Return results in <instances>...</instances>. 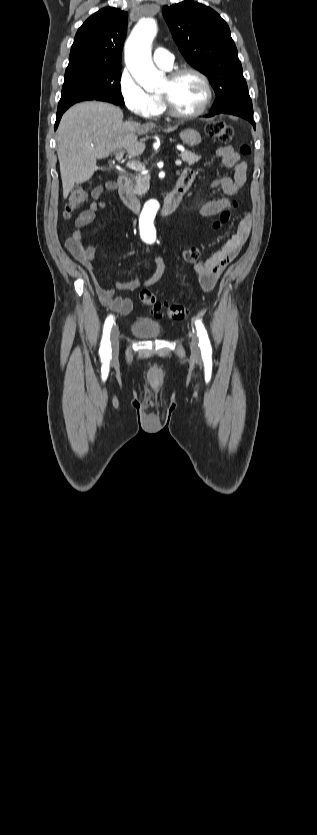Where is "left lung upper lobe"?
I'll list each match as a JSON object with an SVG mask.
<instances>
[{
    "label": "left lung upper lobe",
    "instance_id": "1",
    "mask_svg": "<svg viewBox=\"0 0 317 835\" xmlns=\"http://www.w3.org/2000/svg\"><path fill=\"white\" fill-rule=\"evenodd\" d=\"M163 16L182 55L210 79L216 93L213 109L253 113L236 46L220 15L198 2L183 1L163 7Z\"/></svg>",
    "mask_w": 317,
    "mask_h": 835
}]
</instances>
